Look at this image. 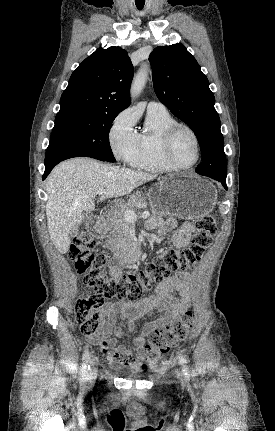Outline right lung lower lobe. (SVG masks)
Returning <instances> with one entry per match:
<instances>
[{"label": "right lung lower lobe", "mask_w": 275, "mask_h": 431, "mask_svg": "<svg viewBox=\"0 0 275 431\" xmlns=\"http://www.w3.org/2000/svg\"><path fill=\"white\" fill-rule=\"evenodd\" d=\"M91 157V158H95L101 161H106L105 159H103L102 157L92 154V153H88V152H81V151H77V152H66V153H62V154H57V155H52V156H47L45 158V172L43 175V180L48 176V174L50 173V171L61 161L69 159V158H73V157Z\"/></svg>", "instance_id": "1"}]
</instances>
